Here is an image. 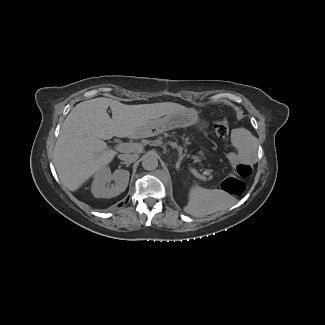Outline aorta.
Segmentation results:
<instances>
[{"mask_svg": "<svg viewBox=\"0 0 325 325\" xmlns=\"http://www.w3.org/2000/svg\"><path fill=\"white\" fill-rule=\"evenodd\" d=\"M158 166V158L157 154L154 152H147L145 155L142 157V167L145 170L151 171L155 170Z\"/></svg>", "mask_w": 325, "mask_h": 325, "instance_id": "aorta-1", "label": "aorta"}]
</instances>
